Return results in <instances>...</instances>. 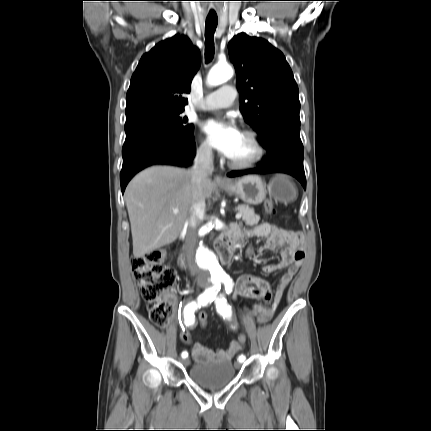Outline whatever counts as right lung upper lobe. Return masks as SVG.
Segmentation results:
<instances>
[{
    "instance_id": "cb5924a9",
    "label": "right lung upper lobe",
    "mask_w": 431,
    "mask_h": 431,
    "mask_svg": "<svg viewBox=\"0 0 431 431\" xmlns=\"http://www.w3.org/2000/svg\"><path fill=\"white\" fill-rule=\"evenodd\" d=\"M197 47L175 35L144 54L126 95V120L155 112L184 110L194 75L200 67Z\"/></svg>"
}]
</instances>
